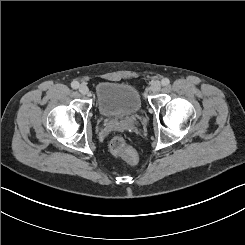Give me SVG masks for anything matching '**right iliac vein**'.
I'll return each mask as SVG.
<instances>
[{
	"instance_id": "right-iliac-vein-1",
	"label": "right iliac vein",
	"mask_w": 245,
	"mask_h": 245,
	"mask_svg": "<svg viewBox=\"0 0 245 245\" xmlns=\"http://www.w3.org/2000/svg\"><path fill=\"white\" fill-rule=\"evenodd\" d=\"M89 89L86 85L82 84L79 86V92L82 94V95H86L88 93Z\"/></svg>"
}]
</instances>
